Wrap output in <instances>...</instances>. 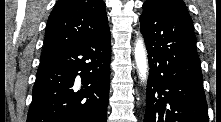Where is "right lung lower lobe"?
<instances>
[{
	"label": "right lung lower lobe",
	"instance_id": "1",
	"mask_svg": "<svg viewBox=\"0 0 221 122\" xmlns=\"http://www.w3.org/2000/svg\"><path fill=\"white\" fill-rule=\"evenodd\" d=\"M110 30L42 59L27 122H106Z\"/></svg>",
	"mask_w": 221,
	"mask_h": 122
}]
</instances>
